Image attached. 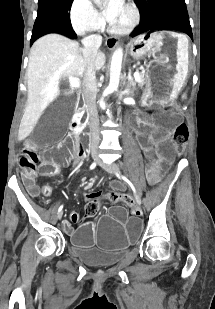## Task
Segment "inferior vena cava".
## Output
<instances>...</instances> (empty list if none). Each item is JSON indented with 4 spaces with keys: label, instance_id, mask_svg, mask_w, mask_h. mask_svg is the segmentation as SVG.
Masks as SVG:
<instances>
[{
    "label": "inferior vena cava",
    "instance_id": "obj_1",
    "mask_svg": "<svg viewBox=\"0 0 215 309\" xmlns=\"http://www.w3.org/2000/svg\"><path fill=\"white\" fill-rule=\"evenodd\" d=\"M84 44V74H83V92L82 96L86 102L89 112L90 132L92 144H99L100 130L99 118L96 102L97 82L95 76V58L99 46L102 44L101 34H89L82 40Z\"/></svg>",
    "mask_w": 215,
    "mask_h": 309
}]
</instances>
